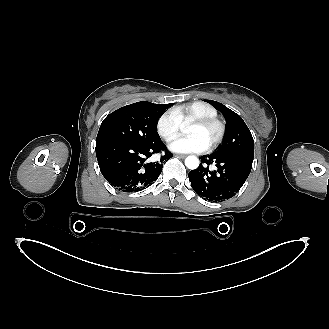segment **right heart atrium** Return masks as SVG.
Instances as JSON below:
<instances>
[{
  "mask_svg": "<svg viewBox=\"0 0 329 329\" xmlns=\"http://www.w3.org/2000/svg\"><path fill=\"white\" fill-rule=\"evenodd\" d=\"M180 127L181 123L173 110L162 113L156 121V131L166 142L178 136Z\"/></svg>",
  "mask_w": 329,
  "mask_h": 329,
  "instance_id": "right-heart-atrium-1",
  "label": "right heart atrium"
}]
</instances>
